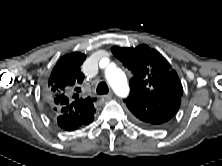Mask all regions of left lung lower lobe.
<instances>
[{"label":"left lung lower lobe","mask_w":222,"mask_h":166,"mask_svg":"<svg viewBox=\"0 0 222 166\" xmlns=\"http://www.w3.org/2000/svg\"><path fill=\"white\" fill-rule=\"evenodd\" d=\"M181 96L159 95L156 99L130 96L126 102L132 121L145 128H158L168 122L179 109Z\"/></svg>","instance_id":"obj_1"}]
</instances>
